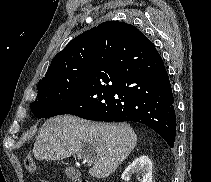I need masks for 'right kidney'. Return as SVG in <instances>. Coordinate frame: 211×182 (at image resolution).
Segmentation results:
<instances>
[{
    "instance_id": "right-kidney-1",
    "label": "right kidney",
    "mask_w": 211,
    "mask_h": 182,
    "mask_svg": "<svg viewBox=\"0 0 211 182\" xmlns=\"http://www.w3.org/2000/svg\"><path fill=\"white\" fill-rule=\"evenodd\" d=\"M133 173L141 175L140 182H152V161L146 155L135 159L123 172L122 179L128 180Z\"/></svg>"
}]
</instances>
